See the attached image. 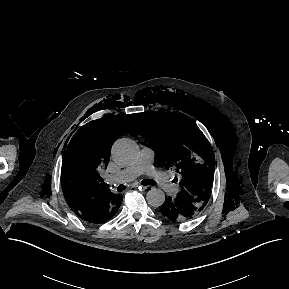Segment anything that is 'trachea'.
<instances>
[{"instance_id": "1", "label": "trachea", "mask_w": 289, "mask_h": 289, "mask_svg": "<svg viewBox=\"0 0 289 289\" xmlns=\"http://www.w3.org/2000/svg\"><path fill=\"white\" fill-rule=\"evenodd\" d=\"M141 184L142 185H151V186H154L155 185V181H153V180H150V179H146V180H142L141 181ZM105 186L106 187H108L109 185L108 184H105ZM126 189V186H124V185H119L118 187H117V190H118V192H122V191H124Z\"/></svg>"}]
</instances>
